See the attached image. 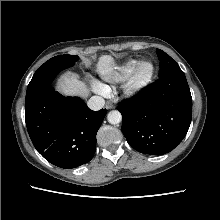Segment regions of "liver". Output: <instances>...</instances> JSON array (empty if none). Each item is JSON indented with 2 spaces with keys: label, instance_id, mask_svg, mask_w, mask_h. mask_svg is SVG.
<instances>
[{
  "label": "liver",
  "instance_id": "liver-1",
  "mask_svg": "<svg viewBox=\"0 0 220 220\" xmlns=\"http://www.w3.org/2000/svg\"><path fill=\"white\" fill-rule=\"evenodd\" d=\"M114 59L109 55L99 58L96 66L97 73L101 76H110L114 70ZM58 90L64 95H78L86 97L89 94L87 85L73 75H64L58 81Z\"/></svg>",
  "mask_w": 220,
  "mask_h": 220
}]
</instances>
